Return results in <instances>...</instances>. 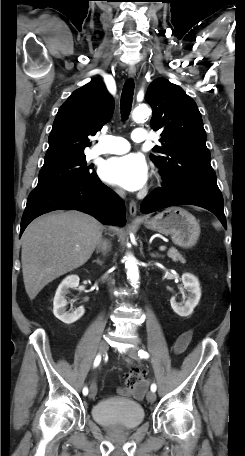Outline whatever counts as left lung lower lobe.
I'll return each instance as SVG.
<instances>
[{"label":"left lung lower lobe","mask_w":245,"mask_h":456,"mask_svg":"<svg viewBox=\"0 0 245 456\" xmlns=\"http://www.w3.org/2000/svg\"><path fill=\"white\" fill-rule=\"evenodd\" d=\"M191 204L205 208L215 214L226 228L223 197L218 186L203 183H181L165 181L162 188L155 190L141 203L142 213H151L166 207Z\"/></svg>","instance_id":"0a47b994"}]
</instances>
